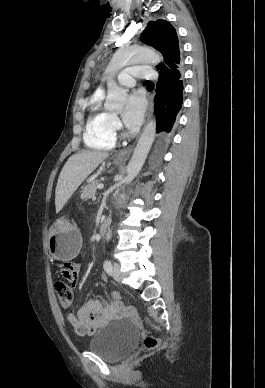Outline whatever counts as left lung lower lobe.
Instances as JSON below:
<instances>
[{
	"instance_id": "0a47b994",
	"label": "left lung lower lobe",
	"mask_w": 265,
	"mask_h": 388,
	"mask_svg": "<svg viewBox=\"0 0 265 388\" xmlns=\"http://www.w3.org/2000/svg\"><path fill=\"white\" fill-rule=\"evenodd\" d=\"M183 90V65L159 73L154 98L157 113L156 129L157 133H160L157 140L156 159L170 142L177 126L178 114L183 104Z\"/></svg>"
}]
</instances>
